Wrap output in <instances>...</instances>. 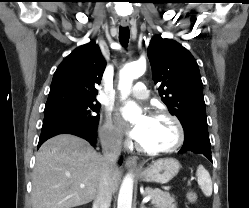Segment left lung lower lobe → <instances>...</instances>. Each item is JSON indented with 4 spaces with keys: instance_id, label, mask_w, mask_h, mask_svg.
<instances>
[{
    "instance_id": "1",
    "label": "left lung lower lobe",
    "mask_w": 249,
    "mask_h": 208,
    "mask_svg": "<svg viewBox=\"0 0 249 208\" xmlns=\"http://www.w3.org/2000/svg\"><path fill=\"white\" fill-rule=\"evenodd\" d=\"M186 151L203 154L212 162L208 129L195 127L185 133L184 144L179 152L184 153Z\"/></svg>"
}]
</instances>
